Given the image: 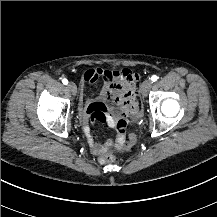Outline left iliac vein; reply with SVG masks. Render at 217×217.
Instances as JSON below:
<instances>
[{
	"instance_id": "1",
	"label": "left iliac vein",
	"mask_w": 217,
	"mask_h": 217,
	"mask_svg": "<svg viewBox=\"0 0 217 217\" xmlns=\"http://www.w3.org/2000/svg\"><path fill=\"white\" fill-rule=\"evenodd\" d=\"M152 81L149 79H146L143 81L140 89L141 96L144 98L148 94L149 90L151 89Z\"/></svg>"
}]
</instances>
